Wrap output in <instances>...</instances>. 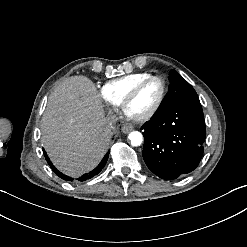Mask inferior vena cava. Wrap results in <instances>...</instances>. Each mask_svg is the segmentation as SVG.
<instances>
[{
  "mask_svg": "<svg viewBox=\"0 0 247 247\" xmlns=\"http://www.w3.org/2000/svg\"><path fill=\"white\" fill-rule=\"evenodd\" d=\"M105 121L110 126V129H114L113 125L118 121V117L115 114H109Z\"/></svg>",
  "mask_w": 247,
  "mask_h": 247,
  "instance_id": "obj_1",
  "label": "inferior vena cava"
}]
</instances>
